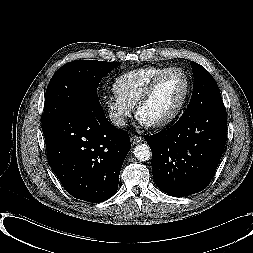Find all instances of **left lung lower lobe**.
<instances>
[{
    "label": "left lung lower lobe",
    "mask_w": 253,
    "mask_h": 253,
    "mask_svg": "<svg viewBox=\"0 0 253 253\" xmlns=\"http://www.w3.org/2000/svg\"><path fill=\"white\" fill-rule=\"evenodd\" d=\"M226 129L222 101L181 116L169 129L151 135L147 143L156 185L176 197L205 189L223 154Z\"/></svg>",
    "instance_id": "left-lung-lower-lobe-1"
}]
</instances>
